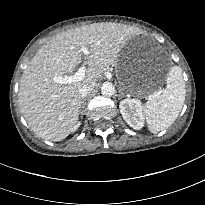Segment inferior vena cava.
I'll return each mask as SVG.
<instances>
[{
	"mask_svg": "<svg viewBox=\"0 0 205 205\" xmlns=\"http://www.w3.org/2000/svg\"><path fill=\"white\" fill-rule=\"evenodd\" d=\"M94 87H95V82H89L84 84L79 90L80 95L83 98L86 97L89 93L93 91Z\"/></svg>",
	"mask_w": 205,
	"mask_h": 205,
	"instance_id": "1",
	"label": "inferior vena cava"
}]
</instances>
